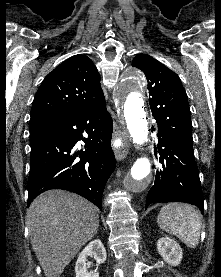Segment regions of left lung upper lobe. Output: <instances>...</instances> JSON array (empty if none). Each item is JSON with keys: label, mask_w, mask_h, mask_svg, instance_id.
I'll use <instances>...</instances> for the list:
<instances>
[{"label": "left lung upper lobe", "mask_w": 221, "mask_h": 277, "mask_svg": "<svg viewBox=\"0 0 221 277\" xmlns=\"http://www.w3.org/2000/svg\"><path fill=\"white\" fill-rule=\"evenodd\" d=\"M132 66L147 78L149 104L158 128L192 148L188 97L178 75L147 54L136 55Z\"/></svg>", "instance_id": "obj_1"}]
</instances>
